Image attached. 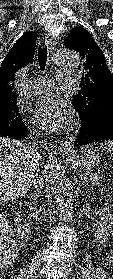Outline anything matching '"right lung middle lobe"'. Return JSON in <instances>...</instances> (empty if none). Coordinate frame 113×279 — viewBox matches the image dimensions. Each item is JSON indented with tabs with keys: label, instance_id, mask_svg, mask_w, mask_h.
I'll return each instance as SVG.
<instances>
[{
	"label": "right lung middle lobe",
	"instance_id": "1",
	"mask_svg": "<svg viewBox=\"0 0 113 279\" xmlns=\"http://www.w3.org/2000/svg\"><path fill=\"white\" fill-rule=\"evenodd\" d=\"M24 125L25 123L19 113L17 103L0 108V132Z\"/></svg>",
	"mask_w": 113,
	"mask_h": 279
}]
</instances>
